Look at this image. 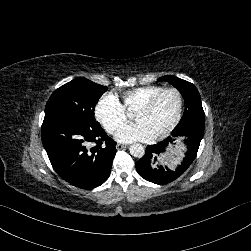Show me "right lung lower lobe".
<instances>
[{"instance_id": "obj_1", "label": "right lung lower lobe", "mask_w": 251, "mask_h": 251, "mask_svg": "<svg viewBox=\"0 0 251 251\" xmlns=\"http://www.w3.org/2000/svg\"><path fill=\"white\" fill-rule=\"evenodd\" d=\"M43 146L53 169L68 183L92 189L107 180L117 152L100 124L65 115H46L41 129ZM96 146L88 150L87 143Z\"/></svg>"}]
</instances>
